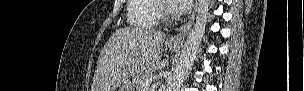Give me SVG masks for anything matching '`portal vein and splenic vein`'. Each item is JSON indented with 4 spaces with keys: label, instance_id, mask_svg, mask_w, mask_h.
Wrapping results in <instances>:
<instances>
[{
    "label": "portal vein and splenic vein",
    "instance_id": "obj_1",
    "mask_svg": "<svg viewBox=\"0 0 304 91\" xmlns=\"http://www.w3.org/2000/svg\"><path fill=\"white\" fill-rule=\"evenodd\" d=\"M149 88H150V83H144V84H143V87H142V90H143V91H148Z\"/></svg>",
    "mask_w": 304,
    "mask_h": 91
}]
</instances>
